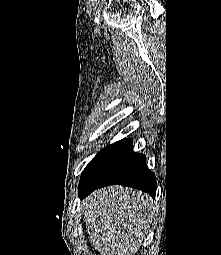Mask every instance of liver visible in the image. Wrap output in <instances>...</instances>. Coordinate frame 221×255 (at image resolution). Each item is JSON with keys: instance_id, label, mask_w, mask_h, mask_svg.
<instances>
[{"instance_id": "liver-1", "label": "liver", "mask_w": 221, "mask_h": 255, "mask_svg": "<svg viewBox=\"0 0 221 255\" xmlns=\"http://www.w3.org/2000/svg\"><path fill=\"white\" fill-rule=\"evenodd\" d=\"M81 205L90 243L101 255H134L158 212L148 194L123 186L96 190Z\"/></svg>"}]
</instances>
